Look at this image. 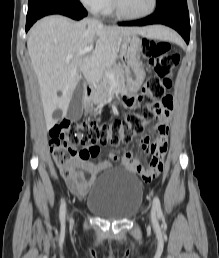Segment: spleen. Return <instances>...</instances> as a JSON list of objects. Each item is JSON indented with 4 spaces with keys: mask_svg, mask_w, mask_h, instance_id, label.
Masks as SVG:
<instances>
[{
    "mask_svg": "<svg viewBox=\"0 0 219 258\" xmlns=\"http://www.w3.org/2000/svg\"><path fill=\"white\" fill-rule=\"evenodd\" d=\"M165 30H166L165 33H164L165 37L168 38V39H173V37L169 34V33H172V32H170L167 29H165Z\"/></svg>",
    "mask_w": 219,
    "mask_h": 258,
    "instance_id": "1",
    "label": "spleen"
}]
</instances>
